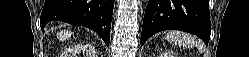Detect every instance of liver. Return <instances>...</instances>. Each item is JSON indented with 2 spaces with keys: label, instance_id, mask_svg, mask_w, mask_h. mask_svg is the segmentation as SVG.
Instances as JSON below:
<instances>
[{
  "label": "liver",
  "instance_id": "6515ba94",
  "mask_svg": "<svg viewBox=\"0 0 249 57\" xmlns=\"http://www.w3.org/2000/svg\"><path fill=\"white\" fill-rule=\"evenodd\" d=\"M58 36H59V39L61 41H64V40L69 39L71 37V31H69V30L60 31L58 33Z\"/></svg>",
  "mask_w": 249,
  "mask_h": 57
}]
</instances>
